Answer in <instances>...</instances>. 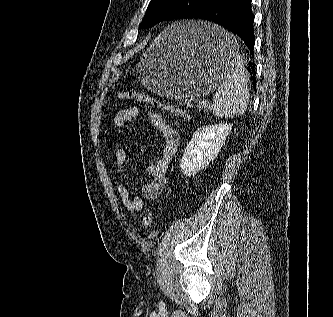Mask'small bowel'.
Returning <instances> with one entry per match:
<instances>
[{
	"mask_svg": "<svg viewBox=\"0 0 333 317\" xmlns=\"http://www.w3.org/2000/svg\"><path fill=\"white\" fill-rule=\"evenodd\" d=\"M140 115L137 107H128L118 111L112 121L116 127L129 129L131 123ZM149 121L159 130L163 145L159 156L148 165V173L151 180L143 185L140 194L132 193L125 181L127 154L124 149L117 148L114 151V160L120 178L116 181V190L124 208L130 213H137L144 207V200L158 199L168 185L167 170L174 157L178 144L179 134L161 115L155 112L147 114Z\"/></svg>",
	"mask_w": 333,
	"mask_h": 317,
	"instance_id": "1",
	"label": "small bowel"
}]
</instances>
